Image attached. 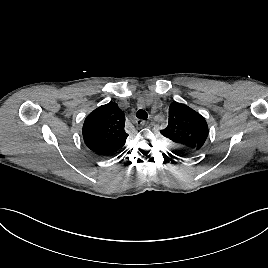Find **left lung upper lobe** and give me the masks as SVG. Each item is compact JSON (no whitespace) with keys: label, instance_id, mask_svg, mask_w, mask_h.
Wrapping results in <instances>:
<instances>
[{"label":"left lung upper lobe","instance_id":"obj_1","mask_svg":"<svg viewBox=\"0 0 268 268\" xmlns=\"http://www.w3.org/2000/svg\"><path fill=\"white\" fill-rule=\"evenodd\" d=\"M208 125L204 117L185 104L172 102L169 107V120L160 133L175 143L177 148L193 152L201 150L208 137Z\"/></svg>","mask_w":268,"mask_h":268}]
</instances>
